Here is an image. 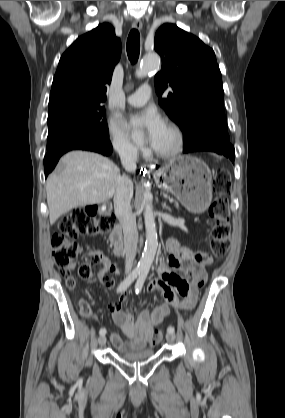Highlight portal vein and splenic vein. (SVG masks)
Here are the masks:
<instances>
[{
  "mask_svg": "<svg viewBox=\"0 0 285 418\" xmlns=\"http://www.w3.org/2000/svg\"><path fill=\"white\" fill-rule=\"evenodd\" d=\"M169 201H170V202H174V200H173V199H169Z\"/></svg>",
  "mask_w": 285,
  "mask_h": 418,
  "instance_id": "18ae733b",
  "label": "portal vein and splenic vein"
}]
</instances>
